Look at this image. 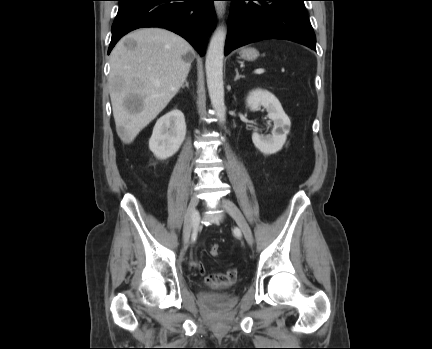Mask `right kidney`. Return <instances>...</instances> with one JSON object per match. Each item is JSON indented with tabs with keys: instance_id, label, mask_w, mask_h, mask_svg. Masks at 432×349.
<instances>
[{
	"instance_id": "ca27d5eb",
	"label": "right kidney",
	"mask_w": 432,
	"mask_h": 349,
	"mask_svg": "<svg viewBox=\"0 0 432 349\" xmlns=\"http://www.w3.org/2000/svg\"><path fill=\"white\" fill-rule=\"evenodd\" d=\"M185 136L184 114L173 109L157 120L149 140V148L156 158L165 160L179 150Z\"/></svg>"
}]
</instances>
